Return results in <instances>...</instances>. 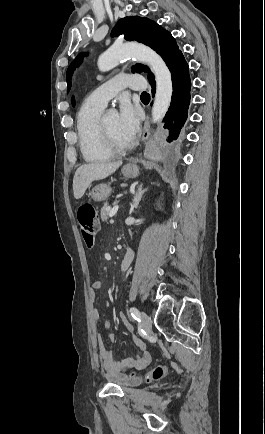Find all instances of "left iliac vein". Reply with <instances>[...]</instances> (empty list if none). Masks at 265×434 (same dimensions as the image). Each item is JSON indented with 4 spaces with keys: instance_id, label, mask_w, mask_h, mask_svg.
Returning a JSON list of instances; mask_svg holds the SVG:
<instances>
[{
    "instance_id": "obj_1",
    "label": "left iliac vein",
    "mask_w": 265,
    "mask_h": 434,
    "mask_svg": "<svg viewBox=\"0 0 265 434\" xmlns=\"http://www.w3.org/2000/svg\"><path fill=\"white\" fill-rule=\"evenodd\" d=\"M140 320H141L142 328L144 329L145 332L148 333L152 327V323L149 316L145 312H142L140 315Z\"/></svg>"
}]
</instances>
